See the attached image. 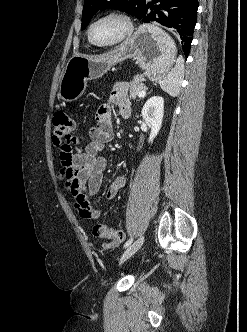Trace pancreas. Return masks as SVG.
<instances>
[{
  "instance_id": "cf45deb5",
  "label": "pancreas",
  "mask_w": 247,
  "mask_h": 332,
  "mask_svg": "<svg viewBox=\"0 0 247 332\" xmlns=\"http://www.w3.org/2000/svg\"><path fill=\"white\" fill-rule=\"evenodd\" d=\"M145 89L146 86L142 83V76L134 77V79L130 82V90H129L130 98L136 99L139 92Z\"/></svg>"
}]
</instances>
